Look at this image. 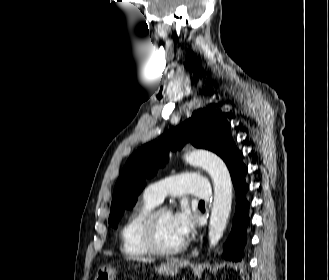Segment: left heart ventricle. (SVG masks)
<instances>
[{
  "instance_id": "obj_1",
  "label": "left heart ventricle",
  "mask_w": 329,
  "mask_h": 280,
  "mask_svg": "<svg viewBox=\"0 0 329 280\" xmlns=\"http://www.w3.org/2000/svg\"><path fill=\"white\" fill-rule=\"evenodd\" d=\"M156 235L158 243L163 247H174L182 242L169 212H163L158 217Z\"/></svg>"
}]
</instances>
